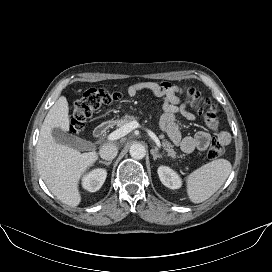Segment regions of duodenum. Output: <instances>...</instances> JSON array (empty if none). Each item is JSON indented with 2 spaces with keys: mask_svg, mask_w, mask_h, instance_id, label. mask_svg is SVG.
<instances>
[{
  "mask_svg": "<svg viewBox=\"0 0 272 272\" xmlns=\"http://www.w3.org/2000/svg\"><path fill=\"white\" fill-rule=\"evenodd\" d=\"M112 126H113V122L111 121L101 123L95 128L94 137L96 139H102Z\"/></svg>",
  "mask_w": 272,
  "mask_h": 272,
  "instance_id": "1",
  "label": "duodenum"
}]
</instances>
